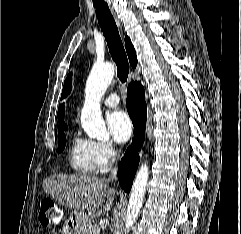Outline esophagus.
Here are the masks:
<instances>
[{
  "instance_id": "obj_1",
  "label": "esophagus",
  "mask_w": 241,
  "mask_h": 234,
  "mask_svg": "<svg viewBox=\"0 0 241 234\" xmlns=\"http://www.w3.org/2000/svg\"><path fill=\"white\" fill-rule=\"evenodd\" d=\"M116 22H117V25L120 27V29L122 30V26H121V23L118 19H116Z\"/></svg>"
}]
</instances>
